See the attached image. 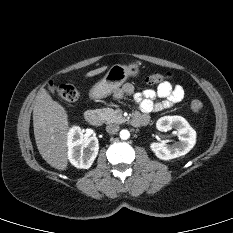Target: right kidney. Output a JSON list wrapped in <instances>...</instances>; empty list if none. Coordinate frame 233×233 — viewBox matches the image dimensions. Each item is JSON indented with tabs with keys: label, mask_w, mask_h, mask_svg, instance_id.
<instances>
[{
	"label": "right kidney",
	"mask_w": 233,
	"mask_h": 233,
	"mask_svg": "<svg viewBox=\"0 0 233 233\" xmlns=\"http://www.w3.org/2000/svg\"><path fill=\"white\" fill-rule=\"evenodd\" d=\"M68 159L76 168L88 169L99 151L97 137L84 139L79 126L72 127L67 134Z\"/></svg>",
	"instance_id": "obj_1"
}]
</instances>
